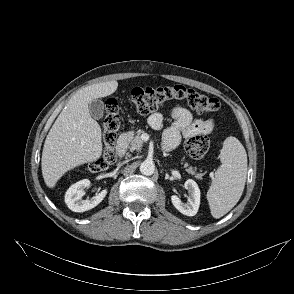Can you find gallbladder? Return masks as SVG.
Wrapping results in <instances>:
<instances>
[{
  "label": "gallbladder",
  "mask_w": 294,
  "mask_h": 294,
  "mask_svg": "<svg viewBox=\"0 0 294 294\" xmlns=\"http://www.w3.org/2000/svg\"><path fill=\"white\" fill-rule=\"evenodd\" d=\"M89 113L92 118L99 120L103 117L104 103L100 99H94L88 104Z\"/></svg>",
  "instance_id": "gallbladder-1"
}]
</instances>
